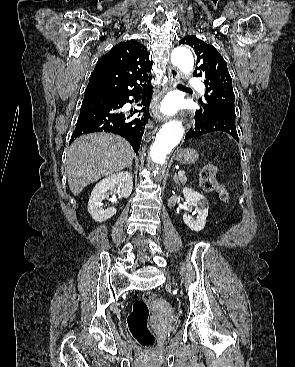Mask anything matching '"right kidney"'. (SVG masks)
Returning a JSON list of instances; mask_svg holds the SVG:
<instances>
[{
    "label": "right kidney",
    "mask_w": 295,
    "mask_h": 367,
    "mask_svg": "<svg viewBox=\"0 0 295 367\" xmlns=\"http://www.w3.org/2000/svg\"><path fill=\"white\" fill-rule=\"evenodd\" d=\"M118 188V196L127 198L133 189L132 175L129 172H119L112 174L100 181L92 190L88 201V212L96 222H104L116 214V209L104 205L109 191H115Z\"/></svg>",
    "instance_id": "right-kidney-1"
}]
</instances>
